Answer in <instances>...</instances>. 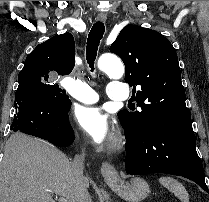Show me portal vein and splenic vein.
<instances>
[{
	"label": "portal vein and splenic vein",
	"mask_w": 209,
	"mask_h": 202,
	"mask_svg": "<svg viewBox=\"0 0 209 202\" xmlns=\"http://www.w3.org/2000/svg\"><path fill=\"white\" fill-rule=\"evenodd\" d=\"M50 192L53 193L52 191H50ZM62 202H66V201L63 199Z\"/></svg>",
	"instance_id": "obj_1"
}]
</instances>
